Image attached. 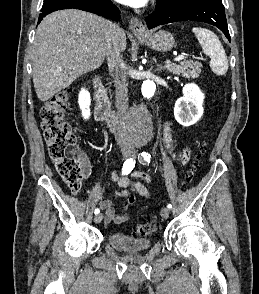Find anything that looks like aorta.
I'll return each instance as SVG.
<instances>
[{
  "label": "aorta",
  "instance_id": "762f6f07",
  "mask_svg": "<svg viewBox=\"0 0 259 294\" xmlns=\"http://www.w3.org/2000/svg\"><path fill=\"white\" fill-rule=\"evenodd\" d=\"M156 91V85L151 80H145L141 87L142 95L151 98ZM125 133L135 142H147L153 135V123L150 114L143 109L131 110L123 121Z\"/></svg>",
  "mask_w": 259,
  "mask_h": 294
}]
</instances>
